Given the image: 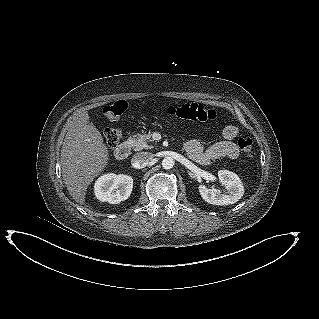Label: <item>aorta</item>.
I'll list each match as a JSON object with an SVG mask.
<instances>
[{"instance_id": "aorta-1", "label": "aorta", "mask_w": 319, "mask_h": 319, "mask_svg": "<svg viewBox=\"0 0 319 319\" xmlns=\"http://www.w3.org/2000/svg\"><path fill=\"white\" fill-rule=\"evenodd\" d=\"M175 165V161L172 157H165L162 160V167L166 170L173 168Z\"/></svg>"}]
</instances>
